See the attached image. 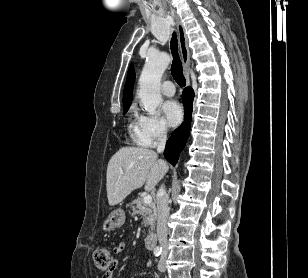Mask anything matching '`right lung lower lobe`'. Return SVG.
<instances>
[{"mask_svg":"<svg viewBox=\"0 0 308 278\" xmlns=\"http://www.w3.org/2000/svg\"><path fill=\"white\" fill-rule=\"evenodd\" d=\"M194 98V92L192 88L187 87L183 91V105L185 107V122L175 130L166 143L164 156L168 162L175 165L178 161L179 154L184 148L186 141L189 137L190 122L192 114V102Z\"/></svg>","mask_w":308,"mask_h":278,"instance_id":"98d812e1","label":"right lung lower lobe"}]
</instances>
